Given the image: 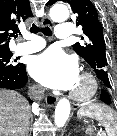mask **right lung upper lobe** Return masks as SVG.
Returning a JSON list of instances; mask_svg holds the SVG:
<instances>
[{
    "mask_svg": "<svg viewBox=\"0 0 117 136\" xmlns=\"http://www.w3.org/2000/svg\"><path fill=\"white\" fill-rule=\"evenodd\" d=\"M33 16L28 0H0V52L9 50V40L18 24Z\"/></svg>",
    "mask_w": 117,
    "mask_h": 136,
    "instance_id": "right-lung-upper-lobe-1",
    "label": "right lung upper lobe"
}]
</instances>
